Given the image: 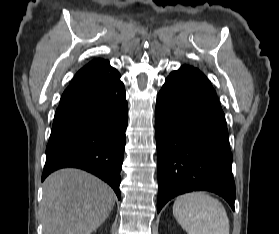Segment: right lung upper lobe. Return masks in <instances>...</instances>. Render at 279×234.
<instances>
[{
    "label": "right lung upper lobe",
    "instance_id": "1",
    "mask_svg": "<svg viewBox=\"0 0 279 234\" xmlns=\"http://www.w3.org/2000/svg\"><path fill=\"white\" fill-rule=\"evenodd\" d=\"M108 61L103 60V59H95L92 60L91 62H89L87 65H85L82 69H80L77 74L74 76V78L79 77L83 74H86L98 67H100L101 65L107 63Z\"/></svg>",
    "mask_w": 279,
    "mask_h": 234
}]
</instances>
